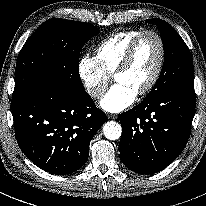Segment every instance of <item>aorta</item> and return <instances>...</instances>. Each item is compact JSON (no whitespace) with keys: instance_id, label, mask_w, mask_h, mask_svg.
<instances>
[{"instance_id":"762f6f07","label":"aorta","mask_w":206,"mask_h":206,"mask_svg":"<svg viewBox=\"0 0 206 206\" xmlns=\"http://www.w3.org/2000/svg\"><path fill=\"white\" fill-rule=\"evenodd\" d=\"M103 134L109 140H117L122 134V127L115 121H108L103 126Z\"/></svg>"}]
</instances>
